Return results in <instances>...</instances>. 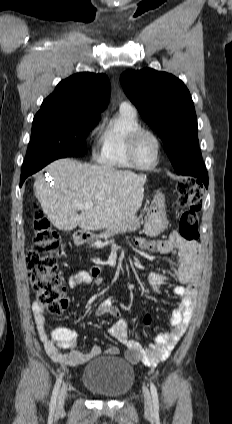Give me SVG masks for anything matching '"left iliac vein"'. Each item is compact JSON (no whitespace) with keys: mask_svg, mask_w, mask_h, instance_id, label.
Returning a JSON list of instances; mask_svg holds the SVG:
<instances>
[{"mask_svg":"<svg viewBox=\"0 0 232 424\" xmlns=\"http://www.w3.org/2000/svg\"><path fill=\"white\" fill-rule=\"evenodd\" d=\"M144 409L147 414L153 413V405L150 392L147 388H143Z\"/></svg>","mask_w":232,"mask_h":424,"instance_id":"4c4485c4","label":"left iliac vein"}]
</instances>
